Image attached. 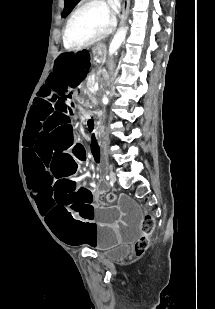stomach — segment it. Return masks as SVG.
I'll list each match as a JSON object with an SVG mask.
<instances>
[{
    "label": "stomach",
    "instance_id": "obj_1",
    "mask_svg": "<svg viewBox=\"0 0 215 309\" xmlns=\"http://www.w3.org/2000/svg\"><path fill=\"white\" fill-rule=\"evenodd\" d=\"M105 45L104 44H99L96 48H95V52L98 54V55H103L104 52H105ZM83 96H87L89 98H91V93L88 91V90H84L83 91Z\"/></svg>",
    "mask_w": 215,
    "mask_h": 309
}]
</instances>
